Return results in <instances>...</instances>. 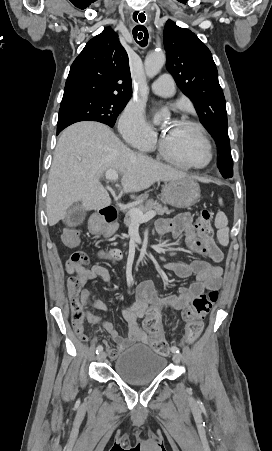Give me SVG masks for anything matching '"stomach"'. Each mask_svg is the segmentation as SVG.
Masks as SVG:
<instances>
[{
  "mask_svg": "<svg viewBox=\"0 0 272 451\" xmlns=\"http://www.w3.org/2000/svg\"><path fill=\"white\" fill-rule=\"evenodd\" d=\"M199 184L193 178H179V180H169L165 184L161 198L163 204H170L174 208H190L197 204L200 198Z\"/></svg>",
  "mask_w": 272,
  "mask_h": 451,
  "instance_id": "obj_1",
  "label": "stomach"
}]
</instances>
